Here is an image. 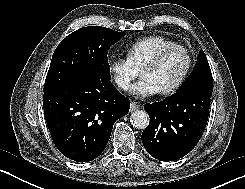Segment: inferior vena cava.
I'll use <instances>...</instances> for the list:
<instances>
[{"mask_svg":"<svg viewBox=\"0 0 245 189\" xmlns=\"http://www.w3.org/2000/svg\"><path fill=\"white\" fill-rule=\"evenodd\" d=\"M120 86H122L123 88L126 86L125 83H121Z\"/></svg>","mask_w":245,"mask_h":189,"instance_id":"inferior-vena-cava-1","label":"inferior vena cava"}]
</instances>
